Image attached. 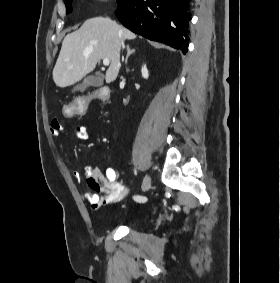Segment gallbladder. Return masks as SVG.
Listing matches in <instances>:
<instances>
[{
    "label": "gallbladder",
    "instance_id": "obj_1",
    "mask_svg": "<svg viewBox=\"0 0 280 283\" xmlns=\"http://www.w3.org/2000/svg\"><path fill=\"white\" fill-rule=\"evenodd\" d=\"M103 78L104 76L100 72H97L95 75H89L84 79L82 83L76 85L73 88L72 92H84L89 86L100 87L103 85Z\"/></svg>",
    "mask_w": 280,
    "mask_h": 283
}]
</instances>
